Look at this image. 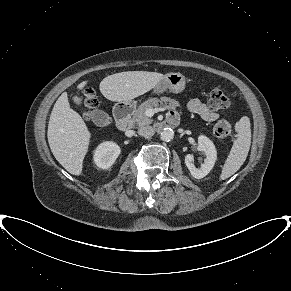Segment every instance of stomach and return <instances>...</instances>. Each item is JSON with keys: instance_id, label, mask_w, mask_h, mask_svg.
<instances>
[{"instance_id": "obj_1", "label": "stomach", "mask_w": 291, "mask_h": 291, "mask_svg": "<svg viewBox=\"0 0 291 291\" xmlns=\"http://www.w3.org/2000/svg\"><path fill=\"white\" fill-rule=\"evenodd\" d=\"M186 79L181 73H167L164 78L153 88V94H162L169 90L172 93H180L185 89ZM124 105H135V101L122 102Z\"/></svg>"}]
</instances>
